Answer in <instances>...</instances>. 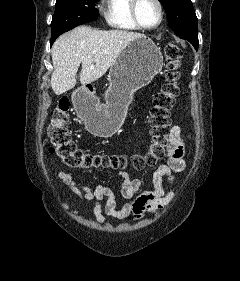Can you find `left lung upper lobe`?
Here are the masks:
<instances>
[{
  "label": "left lung upper lobe",
  "instance_id": "left-lung-upper-lobe-1",
  "mask_svg": "<svg viewBox=\"0 0 240 281\" xmlns=\"http://www.w3.org/2000/svg\"><path fill=\"white\" fill-rule=\"evenodd\" d=\"M167 14L168 24L176 34L196 47L197 17L191 0H159Z\"/></svg>",
  "mask_w": 240,
  "mask_h": 281
}]
</instances>
